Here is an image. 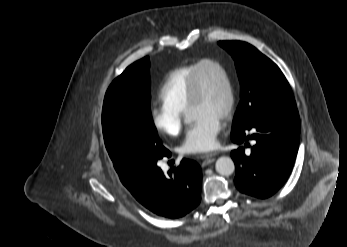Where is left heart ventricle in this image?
Here are the masks:
<instances>
[{"label": "left heart ventricle", "mask_w": 347, "mask_h": 247, "mask_svg": "<svg viewBox=\"0 0 347 247\" xmlns=\"http://www.w3.org/2000/svg\"><path fill=\"white\" fill-rule=\"evenodd\" d=\"M201 98L188 111L192 119L203 115L222 118L227 101V85L222 73L215 67L204 66L200 70Z\"/></svg>", "instance_id": "1"}]
</instances>
